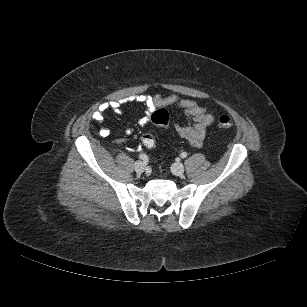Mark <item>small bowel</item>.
<instances>
[{"label": "small bowel", "instance_id": "c3829d8e", "mask_svg": "<svg viewBox=\"0 0 307 307\" xmlns=\"http://www.w3.org/2000/svg\"><path fill=\"white\" fill-rule=\"evenodd\" d=\"M134 101L142 104L145 107V112L141 115L137 122L141 126L148 124L152 113L155 109L161 107L175 106L181 108L186 116L191 120L189 124H175V130L177 134L190 145L194 147L202 146L209 127L213 124L215 118L210 114L205 107L198 104L193 99L181 98L177 94H171L163 96L160 94L156 95H140L134 98ZM123 102L120 101H109L102 103L92 114L93 120L97 123L103 124L105 114L107 111L112 110L113 112L120 114L121 106ZM130 128L126 129V134H131ZM100 135L104 138L110 136V130L106 126H102L100 129Z\"/></svg>", "mask_w": 307, "mask_h": 307}]
</instances>
